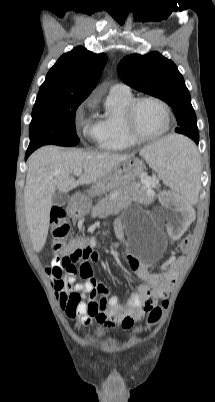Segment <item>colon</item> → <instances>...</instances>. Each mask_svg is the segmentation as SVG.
<instances>
[{
	"mask_svg": "<svg viewBox=\"0 0 215 402\" xmlns=\"http://www.w3.org/2000/svg\"><path fill=\"white\" fill-rule=\"evenodd\" d=\"M51 222H52V234L56 239L52 244V255L56 258L55 263V271L61 272L64 270L65 272L75 271L77 270V263L82 259L83 253L80 250H84L86 247L87 237L85 235H76L74 238H69L68 241H59V239L66 236L69 231V224L67 222L65 213L60 208H55L51 212ZM194 237L188 236L179 241L177 246V252L179 254H184L187 251L188 243H193ZM59 252V255L57 253ZM182 262L181 260H176L170 262L166 271L174 272L180 266ZM80 270H87V266H81ZM166 305V302H165ZM162 311L160 308H154L148 317V322L150 324L157 323L161 318Z\"/></svg>",
	"mask_w": 215,
	"mask_h": 402,
	"instance_id": "1",
	"label": "colon"
}]
</instances>
